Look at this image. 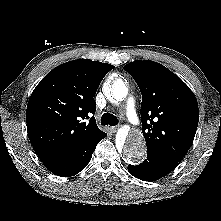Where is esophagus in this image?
Listing matches in <instances>:
<instances>
[{
	"mask_svg": "<svg viewBox=\"0 0 221 221\" xmlns=\"http://www.w3.org/2000/svg\"><path fill=\"white\" fill-rule=\"evenodd\" d=\"M111 129V132H116L118 130V126H113L110 128Z\"/></svg>",
	"mask_w": 221,
	"mask_h": 221,
	"instance_id": "obj_1",
	"label": "esophagus"
}]
</instances>
